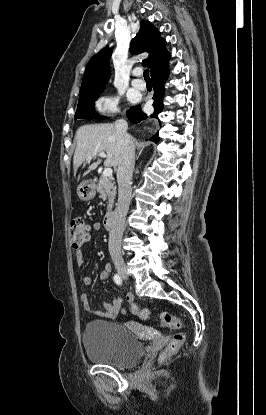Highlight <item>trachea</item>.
Instances as JSON below:
<instances>
[{
    "label": "trachea",
    "mask_w": 266,
    "mask_h": 415,
    "mask_svg": "<svg viewBox=\"0 0 266 415\" xmlns=\"http://www.w3.org/2000/svg\"><path fill=\"white\" fill-rule=\"evenodd\" d=\"M143 77L145 78L146 81H150V77H149V70L146 69L143 73Z\"/></svg>",
    "instance_id": "trachea-1"
}]
</instances>
